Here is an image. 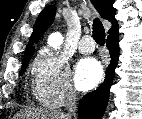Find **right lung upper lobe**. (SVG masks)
<instances>
[{"label": "right lung upper lobe", "mask_w": 142, "mask_h": 119, "mask_svg": "<svg viewBox=\"0 0 142 119\" xmlns=\"http://www.w3.org/2000/svg\"><path fill=\"white\" fill-rule=\"evenodd\" d=\"M96 10L104 19L111 22L112 27L108 31V34H114L118 32V22L115 19L116 9L113 7L114 0H92ZM55 6H47L38 16L29 43L26 47L23 57V63L30 61L35 48L34 43H37L42 34L49 28L55 17Z\"/></svg>", "instance_id": "obj_1"}]
</instances>
